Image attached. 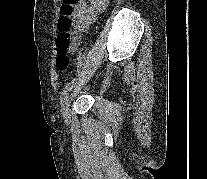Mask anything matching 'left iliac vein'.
I'll list each match as a JSON object with an SVG mask.
<instances>
[{
  "label": "left iliac vein",
  "instance_id": "4c4485c4",
  "mask_svg": "<svg viewBox=\"0 0 207 179\" xmlns=\"http://www.w3.org/2000/svg\"><path fill=\"white\" fill-rule=\"evenodd\" d=\"M69 100H70V96L67 97V100L63 103L62 105V116L64 121H68L70 119V113H69Z\"/></svg>",
  "mask_w": 207,
  "mask_h": 179
}]
</instances>
